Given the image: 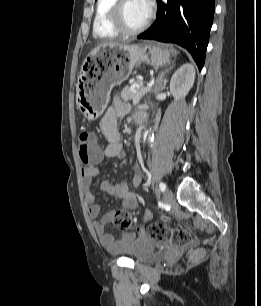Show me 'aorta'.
<instances>
[{
    "label": "aorta",
    "instance_id": "762f6f07",
    "mask_svg": "<svg viewBox=\"0 0 261 306\" xmlns=\"http://www.w3.org/2000/svg\"><path fill=\"white\" fill-rule=\"evenodd\" d=\"M149 141H150V142L153 141V135H152V136H151V135L149 136Z\"/></svg>",
    "mask_w": 261,
    "mask_h": 306
}]
</instances>
